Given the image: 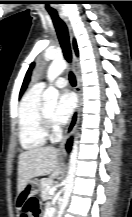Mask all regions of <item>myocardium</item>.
<instances>
[{
	"label": "myocardium",
	"mask_w": 132,
	"mask_h": 217,
	"mask_svg": "<svg viewBox=\"0 0 132 217\" xmlns=\"http://www.w3.org/2000/svg\"><path fill=\"white\" fill-rule=\"evenodd\" d=\"M41 121L44 129L46 130L50 124L51 115L47 113L44 105L41 108Z\"/></svg>",
	"instance_id": "myocardium-1"
}]
</instances>
